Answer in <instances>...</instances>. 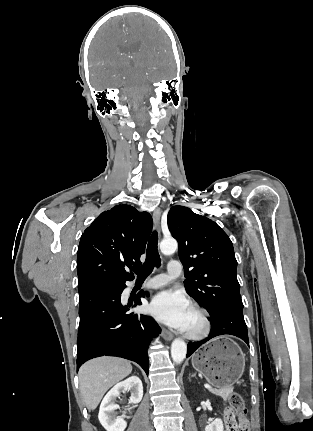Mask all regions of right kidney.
I'll return each mask as SVG.
<instances>
[{
    "label": "right kidney",
    "mask_w": 313,
    "mask_h": 431,
    "mask_svg": "<svg viewBox=\"0 0 313 431\" xmlns=\"http://www.w3.org/2000/svg\"><path fill=\"white\" fill-rule=\"evenodd\" d=\"M120 392H130L129 402L137 404L143 397V385L137 376H131L126 380L117 383L103 398L98 418L101 425L107 431H124L127 423L125 422V412L121 416H117L116 410L119 405L114 403V400L119 397Z\"/></svg>",
    "instance_id": "obj_1"
}]
</instances>
